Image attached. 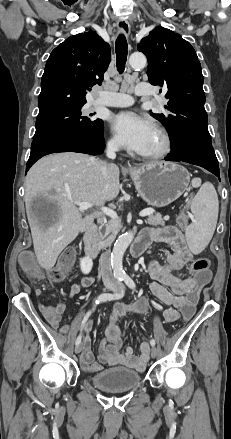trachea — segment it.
<instances>
[{
    "mask_svg": "<svg viewBox=\"0 0 231 439\" xmlns=\"http://www.w3.org/2000/svg\"><path fill=\"white\" fill-rule=\"evenodd\" d=\"M128 45L126 37L120 34L116 40L115 51H116V64L119 73H123L125 69V64L127 61V51Z\"/></svg>",
    "mask_w": 231,
    "mask_h": 439,
    "instance_id": "3493384b",
    "label": "trachea"
}]
</instances>
